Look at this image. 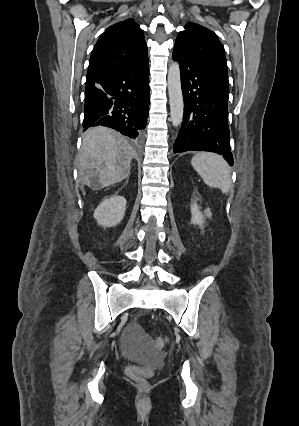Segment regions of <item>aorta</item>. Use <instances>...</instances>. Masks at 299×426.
<instances>
[{"label": "aorta", "mask_w": 299, "mask_h": 426, "mask_svg": "<svg viewBox=\"0 0 299 426\" xmlns=\"http://www.w3.org/2000/svg\"><path fill=\"white\" fill-rule=\"evenodd\" d=\"M168 95L170 104V118L172 125L178 127L183 121L184 101L181 88L180 67L173 62L168 70Z\"/></svg>", "instance_id": "aorta-1"}]
</instances>
